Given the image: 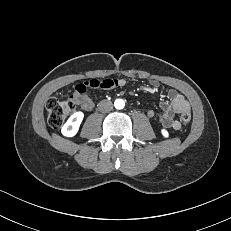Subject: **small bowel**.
<instances>
[{
	"label": "small bowel",
	"instance_id": "small-bowel-1",
	"mask_svg": "<svg viewBox=\"0 0 231 231\" xmlns=\"http://www.w3.org/2000/svg\"><path fill=\"white\" fill-rule=\"evenodd\" d=\"M125 84L126 81L124 79L117 80L113 78L85 81L76 86L71 98L73 99L74 103L79 105L82 109L91 110L94 103L91 97L88 95L89 89H112L117 86L122 87ZM151 86L157 88L159 83L156 80H152ZM168 99L169 101H163L160 104L163 113L158 117V122L163 126L179 130L181 128V122L175 118V114L190 112V105L182 94L173 89L168 92ZM146 115L149 118H153L155 113L152 110H148Z\"/></svg>",
	"mask_w": 231,
	"mask_h": 231
}]
</instances>
